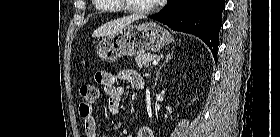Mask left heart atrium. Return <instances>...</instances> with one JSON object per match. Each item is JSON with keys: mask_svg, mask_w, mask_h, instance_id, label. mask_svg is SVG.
Wrapping results in <instances>:
<instances>
[{"mask_svg": "<svg viewBox=\"0 0 280 137\" xmlns=\"http://www.w3.org/2000/svg\"><path fill=\"white\" fill-rule=\"evenodd\" d=\"M158 2L164 3V2H166V0H158Z\"/></svg>", "mask_w": 280, "mask_h": 137, "instance_id": "1", "label": "left heart atrium"}]
</instances>
